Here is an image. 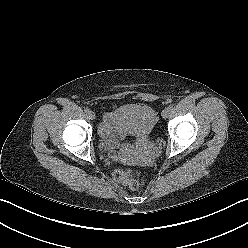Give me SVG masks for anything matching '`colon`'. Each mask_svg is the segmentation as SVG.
<instances>
[{"label": "colon", "instance_id": "5ec220e1", "mask_svg": "<svg viewBox=\"0 0 248 248\" xmlns=\"http://www.w3.org/2000/svg\"><path fill=\"white\" fill-rule=\"evenodd\" d=\"M113 179L117 183L125 185L132 190L138 189L142 184V180L140 178H135L134 171L131 169L115 170L113 173Z\"/></svg>", "mask_w": 248, "mask_h": 248}]
</instances>
